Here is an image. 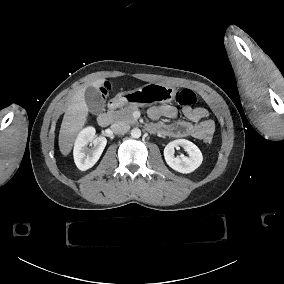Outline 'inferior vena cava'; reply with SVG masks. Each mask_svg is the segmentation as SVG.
Returning <instances> with one entry per match:
<instances>
[{
  "label": "inferior vena cava",
  "mask_w": 284,
  "mask_h": 284,
  "mask_svg": "<svg viewBox=\"0 0 284 284\" xmlns=\"http://www.w3.org/2000/svg\"><path fill=\"white\" fill-rule=\"evenodd\" d=\"M130 129V126L125 122H117L111 125V130L115 134H125Z\"/></svg>",
  "instance_id": "602c4592"
}]
</instances>
